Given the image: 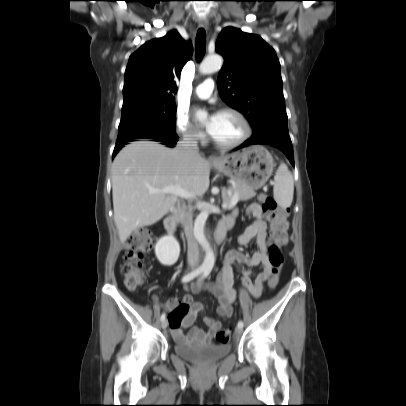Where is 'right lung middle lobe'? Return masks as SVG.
I'll return each mask as SVG.
<instances>
[{
    "instance_id": "1",
    "label": "right lung middle lobe",
    "mask_w": 406,
    "mask_h": 406,
    "mask_svg": "<svg viewBox=\"0 0 406 406\" xmlns=\"http://www.w3.org/2000/svg\"><path fill=\"white\" fill-rule=\"evenodd\" d=\"M175 104L141 103L122 107L116 143L175 135Z\"/></svg>"
}]
</instances>
